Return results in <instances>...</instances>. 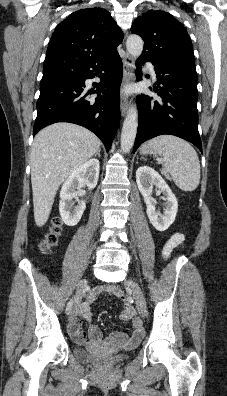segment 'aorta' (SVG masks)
<instances>
[{"label": "aorta", "mask_w": 227, "mask_h": 396, "mask_svg": "<svg viewBox=\"0 0 227 396\" xmlns=\"http://www.w3.org/2000/svg\"><path fill=\"white\" fill-rule=\"evenodd\" d=\"M126 48L129 54L138 58L143 51V40L138 35H130L126 41ZM138 127V111L135 104H132L123 123L121 132V150L124 153L133 147Z\"/></svg>", "instance_id": "obj_1"}]
</instances>
